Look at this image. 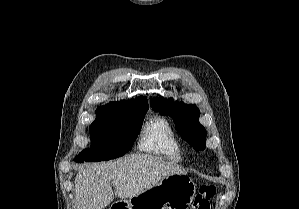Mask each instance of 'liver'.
<instances>
[{"instance_id":"liver-1","label":"liver","mask_w":299,"mask_h":209,"mask_svg":"<svg viewBox=\"0 0 299 209\" xmlns=\"http://www.w3.org/2000/svg\"><path fill=\"white\" fill-rule=\"evenodd\" d=\"M185 174L182 168L161 158L132 154L108 163L90 164L75 178L76 209H104L114 199L132 198L171 174Z\"/></svg>"}]
</instances>
